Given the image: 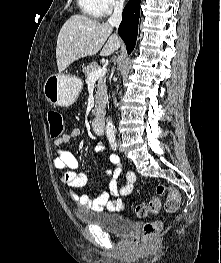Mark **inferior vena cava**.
<instances>
[{
    "label": "inferior vena cava",
    "instance_id": "inferior-vena-cava-1",
    "mask_svg": "<svg viewBox=\"0 0 221 263\" xmlns=\"http://www.w3.org/2000/svg\"><path fill=\"white\" fill-rule=\"evenodd\" d=\"M124 0H117L114 7V12L112 16L108 19V24L111 27H118L122 20V10H123ZM114 104H116V99H114Z\"/></svg>",
    "mask_w": 221,
    "mask_h": 263
}]
</instances>
